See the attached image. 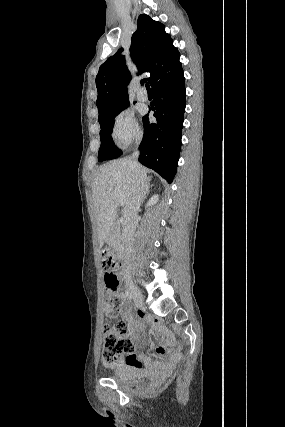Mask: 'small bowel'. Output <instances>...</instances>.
Masks as SVG:
<instances>
[{
    "instance_id": "c3829d8e",
    "label": "small bowel",
    "mask_w": 285,
    "mask_h": 427,
    "mask_svg": "<svg viewBox=\"0 0 285 427\" xmlns=\"http://www.w3.org/2000/svg\"><path fill=\"white\" fill-rule=\"evenodd\" d=\"M122 317L130 326H142L146 323H153V321L144 315H136L131 316L128 307H125V309L122 311ZM133 341L136 343L139 341V337L134 336ZM181 354L179 352V349H176L173 354L170 357H162L159 362H153L149 359H147L144 355L132 352L129 356H124V358H121L119 362L116 365L121 364H133L136 363L138 360H142L144 366L149 369L151 372H157L161 370L163 373L167 372L170 368L174 367L180 360Z\"/></svg>"
}]
</instances>
